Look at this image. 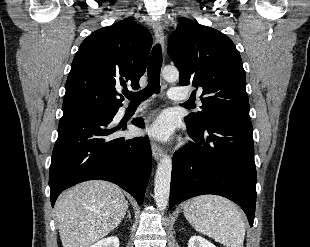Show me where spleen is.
<instances>
[{
	"label": "spleen",
	"instance_id": "spleen-1",
	"mask_svg": "<svg viewBox=\"0 0 310 247\" xmlns=\"http://www.w3.org/2000/svg\"><path fill=\"white\" fill-rule=\"evenodd\" d=\"M184 216L194 229L226 247H243L245 222L237 206L216 195L195 197L184 205Z\"/></svg>",
	"mask_w": 310,
	"mask_h": 247
}]
</instances>
